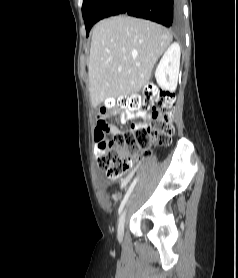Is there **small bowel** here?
I'll use <instances>...</instances> for the list:
<instances>
[{"mask_svg":"<svg viewBox=\"0 0 238 278\" xmlns=\"http://www.w3.org/2000/svg\"><path fill=\"white\" fill-rule=\"evenodd\" d=\"M119 120L121 123H124L128 120L133 119L135 116L140 118V121L136 124L133 125V129H137V128H142L145 127L147 125V121H148V116L146 113L138 111V112H132L130 110H127L125 112H118L117 113ZM100 119H102L104 122L105 120L108 118V114L107 111H104L100 114ZM106 123V122H105ZM107 132H111L112 134H116L119 132V130L116 127H108V131ZM96 141L98 142V148H97V156L99 157L102 154V149L100 147V140L96 139ZM131 176L125 178L122 181V185H125L129 180H130ZM119 194H115L114 195V199L117 200L119 199Z\"/></svg>","mask_w":238,"mask_h":278,"instance_id":"1","label":"small bowel"}]
</instances>
